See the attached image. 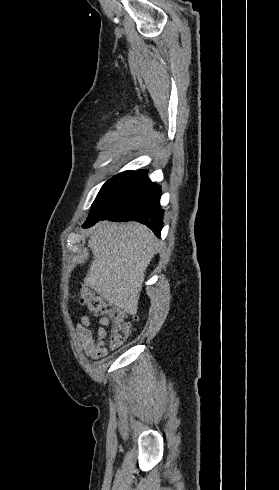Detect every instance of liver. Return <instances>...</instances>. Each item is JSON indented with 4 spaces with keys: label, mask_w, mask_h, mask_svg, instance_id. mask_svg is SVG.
Returning <instances> with one entry per match:
<instances>
[{
    "label": "liver",
    "mask_w": 279,
    "mask_h": 490,
    "mask_svg": "<svg viewBox=\"0 0 279 490\" xmlns=\"http://www.w3.org/2000/svg\"><path fill=\"white\" fill-rule=\"evenodd\" d=\"M88 248L93 254L84 278L109 304L136 316L146 270L157 252V238L138 222H99Z\"/></svg>",
    "instance_id": "6515ba94"
}]
</instances>
